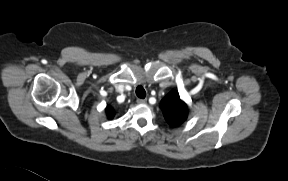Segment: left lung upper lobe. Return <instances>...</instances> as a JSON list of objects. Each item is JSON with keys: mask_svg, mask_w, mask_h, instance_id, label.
<instances>
[{"mask_svg": "<svg viewBox=\"0 0 288 181\" xmlns=\"http://www.w3.org/2000/svg\"><path fill=\"white\" fill-rule=\"evenodd\" d=\"M161 109L165 120L176 127L183 123L188 116L187 105L180 99L179 93L173 91L161 101Z\"/></svg>", "mask_w": 288, "mask_h": 181, "instance_id": "left-lung-upper-lobe-1", "label": "left lung upper lobe"}]
</instances>
